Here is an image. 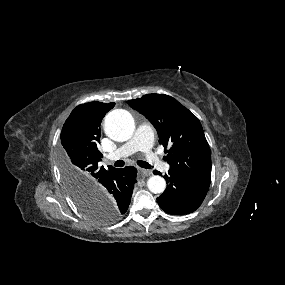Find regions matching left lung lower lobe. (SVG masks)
Here are the masks:
<instances>
[{"mask_svg":"<svg viewBox=\"0 0 285 285\" xmlns=\"http://www.w3.org/2000/svg\"><path fill=\"white\" fill-rule=\"evenodd\" d=\"M155 174H161L154 171ZM165 175L167 188L157 198L159 206L167 213L174 215L189 214L199 208L203 202L210 182L188 178L173 171Z\"/></svg>","mask_w":285,"mask_h":285,"instance_id":"obj_1","label":"left lung lower lobe"}]
</instances>
